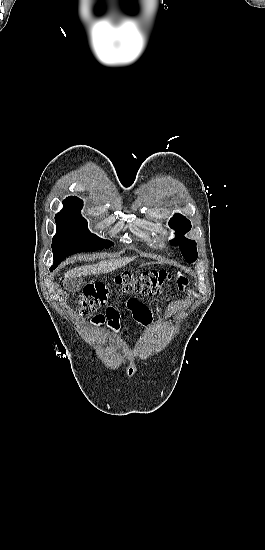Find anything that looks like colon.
Masks as SVG:
<instances>
[{
  "label": "colon",
  "mask_w": 265,
  "mask_h": 550,
  "mask_svg": "<svg viewBox=\"0 0 265 550\" xmlns=\"http://www.w3.org/2000/svg\"><path fill=\"white\" fill-rule=\"evenodd\" d=\"M176 283L180 288H183L187 280L178 274H173L164 270H152L144 272H124L117 275L115 285L120 291L126 295L140 296H157L160 295L166 284ZM112 288L102 282L88 283L84 286L83 292L78 299L79 308L82 314H89L92 311L107 306L111 296ZM138 302H129L128 307L131 309ZM119 312L116 308L108 306L105 315L99 314L95 316L96 322H101L106 318L116 319ZM136 321L146 325L150 322L148 314L147 320L143 321L139 315L134 316Z\"/></svg>",
  "instance_id": "1"
}]
</instances>
